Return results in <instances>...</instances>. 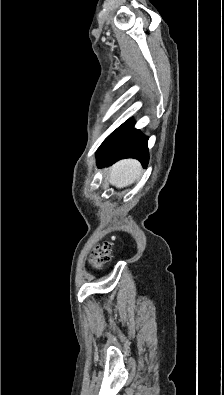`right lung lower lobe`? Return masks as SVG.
Instances as JSON below:
<instances>
[{
	"mask_svg": "<svg viewBox=\"0 0 224 395\" xmlns=\"http://www.w3.org/2000/svg\"><path fill=\"white\" fill-rule=\"evenodd\" d=\"M148 138L134 129L132 120L117 128L97 150L98 166H109L124 158L138 159L146 167L149 160Z\"/></svg>",
	"mask_w": 224,
	"mask_h": 395,
	"instance_id": "1",
	"label": "right lung lower lobe"
}]
</instances>
